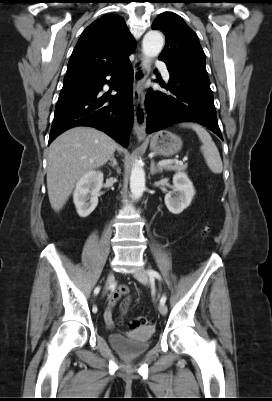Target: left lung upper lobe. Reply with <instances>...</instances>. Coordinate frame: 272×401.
<instances>
[{"label":"left lung upper lobe","instance_id":"5c2ea615","mask_svg":"<svg viewBox=\"0 0 272 401\" xmlns=\"http://www.w3.org/2000/svg\"><path fill=\"white\" fill-rule=\"evenodd\" d=\"M152 29L161 30L166 35L160 60L173 69L209 80L198 36L180 16L164 12L154 20Z\"/></svg>","mask_w":272,"mask_h":401}]
</instances>
